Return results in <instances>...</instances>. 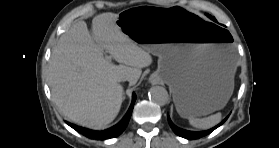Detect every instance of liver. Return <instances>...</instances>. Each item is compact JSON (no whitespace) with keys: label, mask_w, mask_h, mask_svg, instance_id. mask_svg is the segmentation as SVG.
<instances>
[{"label":"liver","mask_w":279,"mask_h":148,"mask_svg":"<svg viewBox=\"0 0 279 148\" xmlns=\"http://www.w3.org/2000/svg\"><path fill=\"white\" fill-rule=\"evenodd\" d=\"M119 15L102 13L92 20V35L78 21L53 48L48 84L60 112L79 125L99 129L111 123L123 100L121 76L136 84L142 68L152 64L147 50L116 24ZM97 42V43H96ZM104 50L120 65L104 57Z\"/></svg>","instance_id":"1"}]
</instances>
